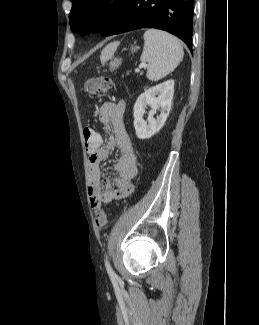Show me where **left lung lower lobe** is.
Returning a JSON list of instances; mask_svg holds the SVG:
<instances>
[{"instance_id":"1","label":"left lung lower lobe","mask_w":259,"mask_h":325,"mask_svg":"<svg viewBox=\"0 0 259 325\" xmlns=\"http://www.w3.org/2000/svg\"><path fill=\"white\" fill-rule=\"evenodd\" d=\"M193 10L194 0H126L109 35L157 28L174 34L191 49Z\"/></svg>"}]
</instances>
